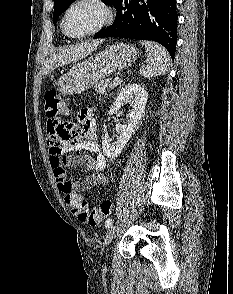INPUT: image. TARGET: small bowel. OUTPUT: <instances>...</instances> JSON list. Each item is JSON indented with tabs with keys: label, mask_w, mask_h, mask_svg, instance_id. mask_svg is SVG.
<instances>
[{
	"label": "small bowel",
	"mask_w": 233,
	"mask_h": 294,
	"mask_svg": "<svg viewBox=\"0 0 233 294\" xmlns=\"http://www.w3.org/2000/svg\"><path fill=\"white\" fill-rule=\"evenodd\" d=\"M68 110H55L53 117H48L47 144L50 149V165L57 186L62 193L88 191L107 181L104 175L106 160L97 142L96 125L93 112L84 108L78 113L77 125L66 120ZM52 122V123H51ZM87 151V154L67 155L70 152ZM83 167L94 171L81 181H70L66 177V168Z\"/></svg>",
	"instance_id": "c3829d8e"
}]
</instances>
